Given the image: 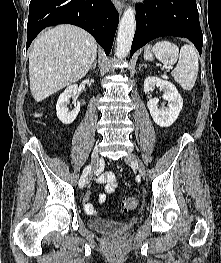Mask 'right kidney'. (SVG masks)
<instances>
[{
    "label": "right kidney",
    "mask_w": 221,
    "mask_h": 263,
    "mask_svg": "<svg viewBox=\"0 0 221 263\" xmlns=\"http://www.w3.org/2000/svg\"><path fill=\"white\" fill-rule=\"evenodd\" d=\"M77 91L78 85H70L64 90L63 93L60 94L58 98L56 105L57 117L65 125L71 124L76 119L80 111V103L78 101L77 104L75 103V107L72 110L67 108L70 99H74L75 101L77 100Z\"/></svg>",
    "instance_id": "1"
}]
</instances>
